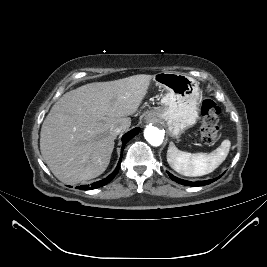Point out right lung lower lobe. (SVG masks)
<instances>
[{"mask_svg":"<svg viewBox=\"0 0 267 267\" xmlns=\"http://www.w3.org/2000/svg\"><path fill=\"white\" fill-rule=\"evenodd\" d=\"M140 131V128H134L133 130L129 131L128 133H126L123 137H122V149H121V157H120V160H119V163L116 167V169L108 176L106 177L105 179L101 180V181H98V182H95L93 184H91L90 186L89 185H82L80 186L79 188L82 189V190H88V189H96V188H99V187H102L104 185H106L107 183H109L111 180L114 179L115 175L118 173L119 171V164L121 162V159H122V152L124 150V147H125V144L132 138L134 137L136 134H138V132Z\"/></svg>","mask_w":267,"mask_h":267,"instance_id":"obj_1","label":"right lung lower lobe"}]
</instances>
